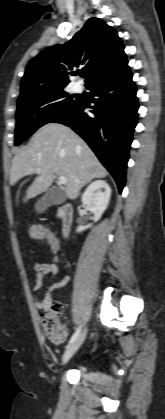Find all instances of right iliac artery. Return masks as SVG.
Returning <instances> with one entry per match:
<instances>
[{
    "instance_id": "1",
    "label": "right iliac artery",
    "mask_w": 165,
    "mask_h": 419,
    "mask_svg": "<svg viewBox=\"0 0 165 419\" xmlns=\"http://www.w3.org/2000/svg\"><path fill=\"white\" fill-rule=\"evenodd\" d=\"M81 326L75 331V333L72 335V337L69 340V344H71L80 334Z\"/></svg>"
}]
</instances>
